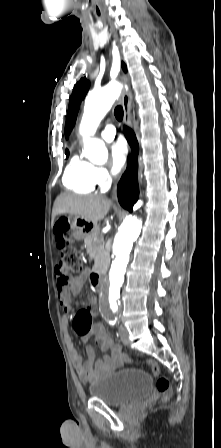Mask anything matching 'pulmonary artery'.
Wrapping results in <instances>:
<instances>
[{
    "instance_id": "obj_1",
    "label": "pulmonary artery",
    "mask_w": 221,
    "mask_h": 448,
    "mask_svg": "<svg viewBox=\"0 0 221 448\" xmlns=\"http://www.w3.org/2000/svg\"><path fill=\"white\" fill-rule=\"evenodd\" d=\"M115 134H116V129L112 125H107L101 130V136L106 141H111L115 137Z\"/></svg>"
}]
</instances>
